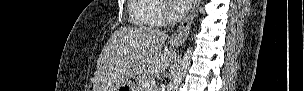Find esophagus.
<instances>
[{
    "label": "esophagus",
    "mask_w": 304,
    "mask_h": 91,
    "mask_svg": "<svg viewBox=\"0 0 304 91\" xmlns=\"http://www.w3.org/2000/svg\"><path fill=\"white\" fill-rule=\"evenodd\" d=\"M199 4L200 0L194 1L190 14L181 22L177 31L172 35L170 39L171 44L180 46L185 42L190 33L191 25L196 16Z\"/></svg>",
    "instance_id": "34e87169"
}]
</instances>
